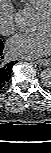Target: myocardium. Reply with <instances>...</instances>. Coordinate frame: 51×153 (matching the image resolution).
Listing matches in <instances>:
<instances>
[{"instance_id": "1", "label": "myocardium", "mask_w": 51, "mask_h": 153, "mask_svg": "<svg viewBox=\"0 0 51 153\" xmlns=\"http://www.w3.org/2000/svg\"><path fill=\"white\" fill-rule=\"evenodd\" d=\"M41 15L51 18V6L40 12Z\"/></svg>"}]
</instances>
